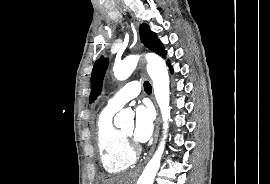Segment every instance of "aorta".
I'll use <instances>...</instances> for the list:
<instances>
[{
    "label": "aorta",
    "instance_id": "1",
    "mask_svg": "<svg viewBox=\"0 0 270 184\" xmlns=\"http://www.w3.org/2000/svg\"><path fill=\"white\" fill-rule=\"evenodd\" d=\"M139 56L130 55L124 60L115 63L113 67V72L118 80H126L135 70ZM147 60V72L153 81L154 94L157 103L160 107L163 127H164V137L161 141L157 151L147 163L145 169L143 170L137 184H153L155 176L160 168L162 154L165 148L166 132L168 129V120L170 119V106H169V75L166 67L165 61L158 55L150 53L146 55ZM134 118V113L129 110L120 111L114 119V124L117 127H123L127 122H132Z\"/></svg>",
    "mask_w": 270,
    "mask_h": 184
}]
</instances>
